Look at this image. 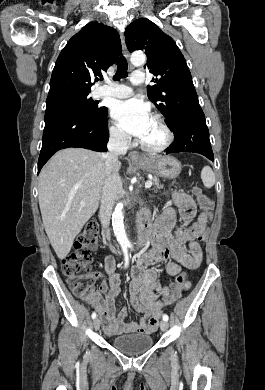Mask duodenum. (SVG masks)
Here are the masks:
<instances>
[{
    "label": "duodenum",
    "instance_id": "1",
    "mask_svg": "<svg viewBox=\"0 0 265 390\" xmlns=\"http://www.w3.org/2000/svg\"><path fill=\"white\" fill-rule=\"evenodd\" d=\"M139 238L142 244H145L151 238L150 221L144 218L143 215L138 219Z\"/></svg>",
    "mask_w": 265,
    "mask_h": 390
}]
</instances>
